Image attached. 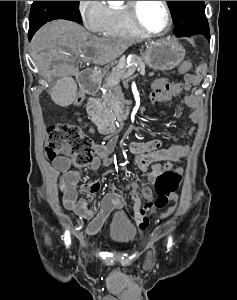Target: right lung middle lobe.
<instances>
[{
  "label": "right lung middle lobe",
  "instance_id": "1",
  "mask_svg": "<svg viewBox=\"0 0 237 300\" xmlns=\"http://www.w3.org/2000/svg\"><path fill=\"white\" fill-rule=\"evenodd\" d=\"M79 1H33L29 17V30L37 31L45 23L66 19L82 23Z\"/></svg>",
  "mask_w": 237,
  "mask_h": 300
}]
</instances>
